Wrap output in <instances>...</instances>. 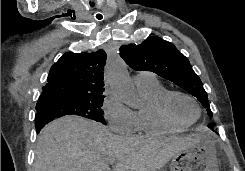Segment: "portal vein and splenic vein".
<instances>
[{"mask_svg":"<svg viewBox=\"0 0 245 171\" xmlns=\"http://www.w3.org/2000/svg\"><path fill=\"white\" fill-rule=\"evenodd\" d=\"M108 162H109V164H113V163H114V161H113V160H109Z\"/></svg>","mask_w":245,"mask_h":171,"instance_id":"obj_1","label":"portal vein and splenic vein"}]
</instances>
